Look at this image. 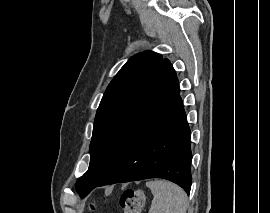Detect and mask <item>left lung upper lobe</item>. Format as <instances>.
<instances>
[{"instance_id": "1", "label": "left lung upper lobe", "mask_w": 270, "mask_h": 213, "mask_svg": "<svg viewBox=\"0 0 270 213\" xmlns=\"http://www.w3.org/2000/svg\"><path fill=\"white\" fill-rule=\"evenodd\" d=\"M177 85L169 60L152 51L134 55L121 68L96 113L89 168L76 183L81 196L98 185L140 124Z\"/></svg>"}]
</instances>
